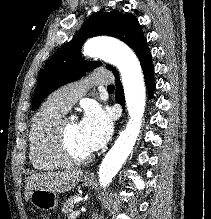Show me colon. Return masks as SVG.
I'll use <instances>...</instances> for the list:
<instances>
[{
	"label": "colon",
	"instance_id": "obj_1",
	"mask_svg": "<svg viewBox=\"0 0 211 219\" xmlns=\"http://www.w3.org/2000/svg\"><path fill=\"white\" fill-rule=\"evenodd\" d=\"M36 219H47V218L44 217V216H39V217H37Z\"/></svg>",
	"mask_w": 211,
	"mask_h": 219
}]
</instances>
